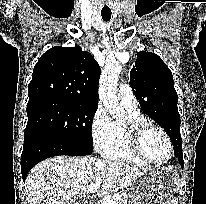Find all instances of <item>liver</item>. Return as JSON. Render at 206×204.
<instances>
[{
    "label": "liver",
    "mask_w": 206,
    "mask_h": 204,
    "mask_svg": "<svg viewBox=\"0 0 206 204\" xmlns=\"http://www.w3.org/2000/svg\"><path fill=\"white\" fill-rule=\"evenodd\" d=\"M148 169L94 157L58 156L37 164L28 174V204H72L102 177L101 190L116 192L132 185Z\"/></svg>",
    "instance_id": "obj_1"
}]
</instances>
